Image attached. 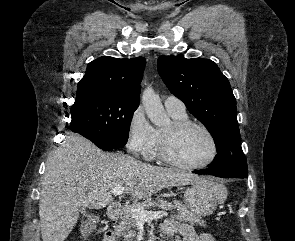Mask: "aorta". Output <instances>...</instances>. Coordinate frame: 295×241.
Segmentation results:
<instances>
[{"mask_svg": "<svg viewBox=\"0 0 295 241\" xmlns=\"http://www.w3.org/2000/svg\"><path fill=\"white\" fill-rule=\"evenodd\" d=\"M142 104L150 121L158 127L170 124V118L165 113L159 95L152 87H147L142 94Z\"/></svg>", "mask_w": 295, "mask_h": 241, "instance_id": "aorta-1", "label": "aorta"}]
</instances>
